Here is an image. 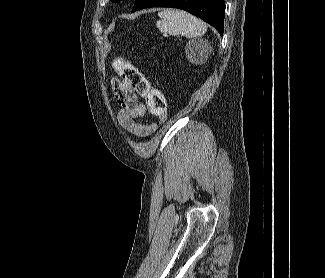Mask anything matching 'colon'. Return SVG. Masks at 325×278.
Returning <instances> with one entry per match:
<instances>
[{
	"label": "colon",
	"instance_id": "1",
	"mask_svg": "<svg viewBox=\"0 0 325 278\" xmlns=\"http://www.w3.org/2000/svg\"><path fill=\"white\" fill-rule=\"evenodd\" d=\"M112 66L116 74L128 83L140 96L144 97L153 115L163 116L166 110V102L159 89L154 87L147 77L129 61L123 57L113 59Z\"/></svg>",
	"mask_w": 325,
	"mask_h": 278
}]
</instances>
